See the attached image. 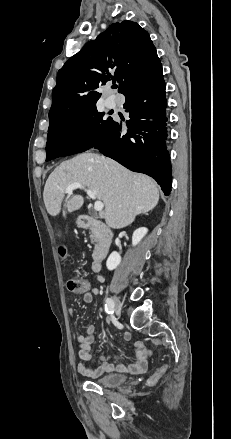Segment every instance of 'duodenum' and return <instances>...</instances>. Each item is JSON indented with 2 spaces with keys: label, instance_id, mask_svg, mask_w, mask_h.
<instances>
[{
  "label": "duodenum",
  "instance_id": "1",
  "mask_svg": "<svg viewBox=\"0 0 231 439\" xmlns=\"http://www.w3.org/2000/svg\"><path fill=\"white\" fill-rule=\"evenodd\" d=\"M79 223L81 227L92 229L100 237V242L93 251L91 262L92 270L98 272L101 269L102 261L109 252L113 234L102 221L88 215L80 216Z\"/></svg>",
  "mask_w": 231,
  "mask_h": 439
}]
</instances>
